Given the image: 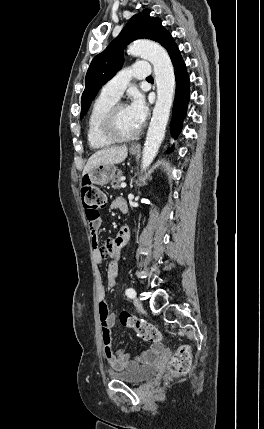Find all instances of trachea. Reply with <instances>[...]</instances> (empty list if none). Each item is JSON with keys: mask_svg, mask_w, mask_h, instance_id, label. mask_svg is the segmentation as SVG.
<instances>
[{"mask_svg": "<svg viewBox=\"0 0 264 429\" xmlns=\"http://www.w3.org/2000/svg\"><path fill=\"white\" fill-rule=\"evenodd\" d=\"M147 79H148V80H151V79H153V77H152V76H149V77H147Z\"/></svg>", "mask_w": 264, "mask_h": 429, "instance_id": "3493384b", "label": "trachea"}]
</instances>
